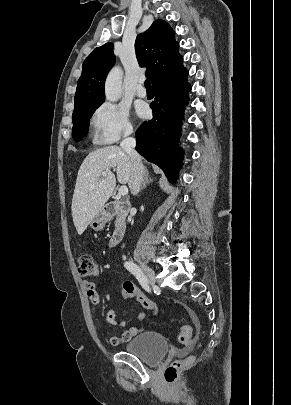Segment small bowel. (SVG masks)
Masks as SVG:
<instances>
[{
	"label": "small bowel",
	"mask_w": 291,
	"mask_h": 405,
	"mask_svg": "<svg viewBox=\"0 0 291 405\" xmlns=\"http://www.w3.org/2000/svg\"><path fill=\"white\" fill-rule=\"evenodd\" d=\"M84 287L86 289L87 296L92 301V303L98 304V302H99V295H98L99 284L95 283V282L85 281L84 282ZM186 311H187L190 319L192 320L194 326L196 328H198L199 327V321H198V318H197L196 314L189 308H186ZM145 317H146V314L144 312H139L138 315H137V318L139 320H143V319H145ZM104 319H105V322L108 325L118 326V327L123 329L120 335H118V336H109L108 341L113 346H117V345H119L121 343L129 341L130 339H132L134 336L138 335L142 331L141 328L136 327V326H133V327H131L129 329H125L126 321L125 320H119L116 317V314H115V312L113 310H108L106 312V314H105Z\"/></svg>",
	"instance_id": "1"
}]
</instances>
